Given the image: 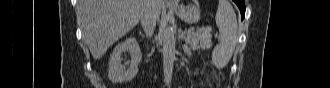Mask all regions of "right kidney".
Instances as JSON below:
<instances>
[{
	"label": "right kidney",
	"instance_id": "right-kidney-1",
	"mask_svg": "<svg viewBox=\"0 0 330 88\" xmlns=\"http://www.w3.org/2000/svg\"><path fill=\"white\" fill-rule=\"evenodd\" d=\"M130 52L131 63L128 69L121 64V55ZM142 59V52L134 37H128L119 43L113 50L109 60L108 77L112 82L131 81L138 73V65Z\"/></svg>",
	"mask_w": 330,
	"mask_h": 88
}]
</instances>
